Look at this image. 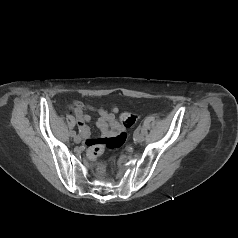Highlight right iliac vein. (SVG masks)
I'll use <instances>...</instances> for the list:
<instances>
[{
    "label": "right iliac vein",
    "instance_id": "1",
    "mask_svg": "<svg viewBox=\"0 0 238 238\" xmlns=\"http://www.w3.org/2000/svg\"><path fill=\"white\" fill-rule=\"evenodd\" d=\"M75 143H80L81 142V137L79 135L74 137Z\"/></svg>",
    "mask_w": 238,
    "mask_h": 238
}]
</instances>
